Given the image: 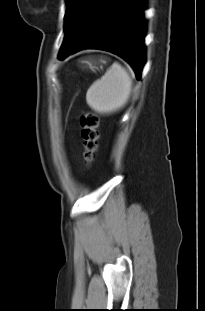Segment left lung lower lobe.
I'll list each match as a JSON object with an SVG mask.
<instances>
[{
    "instance_id": "0a47b994",
    "label": "left lung lower lobe",
    "mask_w": 205,
    "mask_h": 311,
    "mask_svg": "<svg viewBox=\"0 0 205 311\" xmlns=\"http://www.w3.org/2000/svg\"><path fill=\"white\" fill-rule=\"evenodd\" d=\"M144 6L145 0H118L99 25L59 59L87 48L110 51L124 58L139 79L145 55Z\"/></svg>"
}]
</instances>
